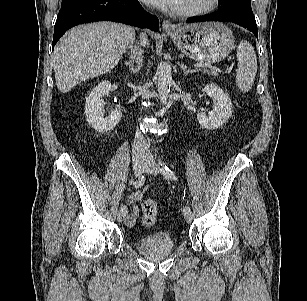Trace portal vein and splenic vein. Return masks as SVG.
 Here are the masks:
<instances>
[{"instance_id": "18ae733b", "label": "portal vein and splenic vein", "mask_w": 307, "mask_h": 301, "mask_svg": "<svg viewBox=\"0 0 307 301\" xmlns=\"http://www.w3.org/2000/svg\"><path fill=\"white\" fill-rule=\"evenodd\" d=\"M194 67H196V68H213L211 64H201V63L194 64Z\"/></svg>"}]
</instances>
